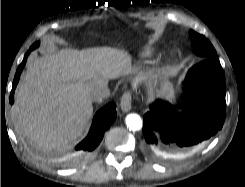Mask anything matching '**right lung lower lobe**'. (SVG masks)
Returning a JSON list of instances; mask_svg holds the SVG:
<instances>
[{
    "instance_id": "98d812e1",
    "label": "right lung lower lobe",
    "mask_w": 245,
    "mask_h": 187,
    "mask_svg": "<svg viewBox=\"0 0 245 187\" xmlns=\"http://www.w3.org/2000/svg\"><path fill=\"white\" fill-rule=\"evenodd\" d=\"M32 50H34V48L31 47L30 51ZM30 51L27 53V55L30 53ZM27 55L23 59L22 63L19 65L13 80L12 90L10 93L11 104H13L14 102V91L19 81V76L22 72V69L25 66ZM115 109V103H110L96 113L88 136L75 148V150L77 151L76 161H86L93 155L95 149L97 148L104 136V132L111 126V124L116 119L117 113Z\"/></svg>"
}]
</instances>
